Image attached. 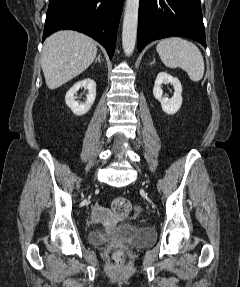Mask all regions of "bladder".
Listing matches in <instances>:
<instances>
[{"label":"bladder","instance_id":"31cf9c89","mask_svg":"<svg viewBox=\"0 0 240 287\" xmlns=\"http://www.w3.org/2000/svg\"><path fill=\"white\" fill-rule=\"evenodd\" d=\"M110 237L131 241L134 246H145L153 243L154 232L148 227L124 222L110 231L105 228L93 229L89 241L92 244H103Z\"/></svg>","mask_w":240,"mask_h":287}]
</instances>
